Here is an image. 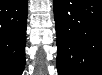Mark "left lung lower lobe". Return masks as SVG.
<instances>
[{
  "label": "left lung lower lobe",
  "mask_w": 102,
  "mask_h": 75,
  "mask_svg": "<svg viewBox=\"0 0 102 75\" xmlns=\"http://www.w3.org/2000/svg\"><path fill=\"white\" fill-rule=\"evenodd\" d=\"M59 75L102 73V2L55 0Z\"/></svg>",
  "instance_id": "left-lung-lower-lobe-1"
}]
</instances>
